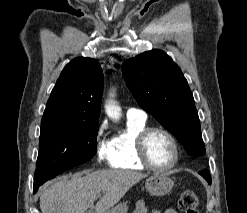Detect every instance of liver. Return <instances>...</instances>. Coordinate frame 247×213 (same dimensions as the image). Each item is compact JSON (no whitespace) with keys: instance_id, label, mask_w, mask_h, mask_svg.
Masks as SVG:
<instances>
[{"instance_id":"obj_1","label":"liver","mask_w":247,"mask_h":213,"mask_svg":"<svg viewBox=\"0 0 247 213\" xmlns=\"http://www.w3.org/2000/svg\"><path fill=\"white\" fill-rule=\"evenodd\" d=\"M76 173L60 178L40 195L42 213H104L117 204L125 193L147 174L128 170H100ZM102 194V196H101ZM99 201L94 206L97 198Z\"/></svg>"}]
</instances>
